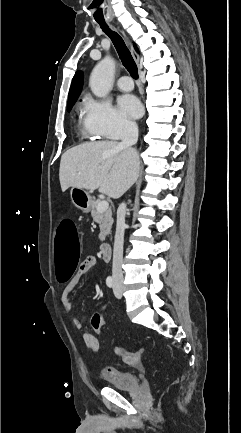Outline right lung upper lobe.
I'll return each mask as SVG.
<instances>
[{
	"label": "right lung upper lobe",
	"instance_id": "1",
	"mask_svg": "<svg viewBox=\"0 0 241 433\" xmlns=\"http://www.w3.org/2000/svg\"><path fill=\"white\" fill-rule=\"evenodd\" d=\"M135 49L137 50L136 46ZM83 84L82 72H77L72 80V84L69 90L68 106H73L76 99L78 98Z\"/></svg>",
	"mask_w": 241,
	"mask_h": 433
}]
</instances>
